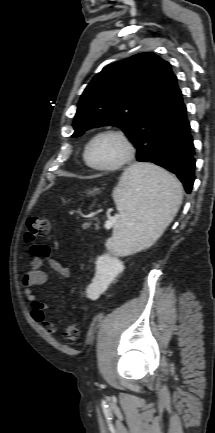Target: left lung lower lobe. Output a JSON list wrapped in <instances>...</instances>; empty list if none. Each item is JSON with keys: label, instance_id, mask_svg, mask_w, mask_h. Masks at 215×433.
<instances>
[{"label": "left lung lower lobe", "instance_id": "obj_1", "mask_svg": "<svg viewBox=\"0 0 215 433\" xmlns=\"http://www.w3.org/2000/svg\"><path fill=\"white\" fill-rule=\"evenodd\" d=\"M186 113V106L180 94L173 107L170 121L161 135L152 163L175 174L185 191L190 194L195 180L196 159Z\"/></svg>", "mask_w": 215, "mask_h": 433}]
</instances>
